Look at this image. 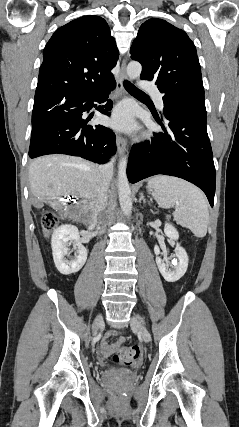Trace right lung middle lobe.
<instances>
[{"mask_svg":"<svg viewBox=\"0 0 239 427\" xmlns=\"http://www.w3.org/2000/svg\"><path fill=\"white\" fill-rule=\"evenodd\" d=\"M55 100H56V97L34 100V107L32 112V125L39 119L42 113L47 111L54 104Z\"/></svg>","mask_w":239,"mask_h":427,"instance_id":"1","label":"right lung middle lobe"}]
</instances>
